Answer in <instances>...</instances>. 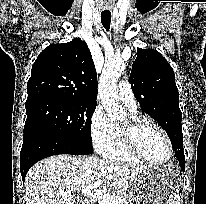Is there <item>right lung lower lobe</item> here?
<instances>
[{
	"label": "right lung lower lobe",
	"mask_w": 206,
	"mask_h": 204,
	"mask_svg": "<svg viewBox=\"0 0 206 204\" xmlns=\"http://www.w3.org/2000/svg\"><path fill=\"white\" fill-rule=\"evenodd\" d=\"M90 153L92 150H87L66 138L47 133L33 134L23 139L20 152L22 180H25L31 166L46 157L58 154L86 155Z\"/></svg>",
	"instance_id": "obj_1"
}]
</instances>
